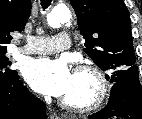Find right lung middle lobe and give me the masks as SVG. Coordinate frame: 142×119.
<instances>
[{"mask_svg": "<svg viewBox=\"0 0 142 119\" xmlns=\"http://www.w3.org/2000/svg\"><path fill=\"white\" fill-rule=\"evenodd\" d=\"M7 50L0 52V81H7L13 76L17 75L15 70L8 68L11 65V62L8 61V58L5 56Z\"/></svg>", "mask_w": 142, "mask_h": 119, "instance_id": "dd1d6c3e", "label": "right lung middle lobe"}]
</instances>
